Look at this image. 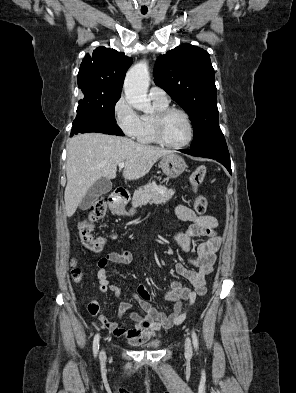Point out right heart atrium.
<instances>
[{"instance_id": "right-heart-atrium-1", "label": "right heart atrium", "mask_w": 296, "mask_h": 393, "mask_svg": "<svg viewBox=\"0 0 296 393\" xmlns=\"http://www.w3.org/2000/svg\"><path fill=\"white\" fill-rule=\"evenodd\" d=\"M113 112L116 123L124 134L136 138L140 128V117L125 96L116 101Z\"/></svg>"}]
</instances>
